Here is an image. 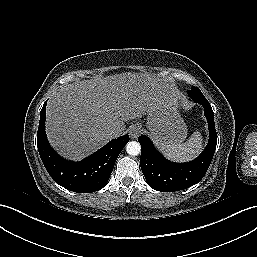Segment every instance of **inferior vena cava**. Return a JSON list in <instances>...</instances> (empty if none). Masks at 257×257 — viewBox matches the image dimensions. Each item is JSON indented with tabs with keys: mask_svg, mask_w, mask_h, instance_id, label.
<instances>
[{
	"mask_svg": "<svg viewBox=\"0 0 257 257\" xmlns=\"http://www.w3.org/2000/svg\"><path fill=\"white\" fill-rule=\"evenodd\" d=\"M106 135L110 139L118 137V133L116 130H109Z\"/></svg>",
	"mask_w": 257,
	"mask_h": 257,
	"instance_id": "inferior-vena-cava-1",
	"label": "inferior vena cava"
}]
</instances>
